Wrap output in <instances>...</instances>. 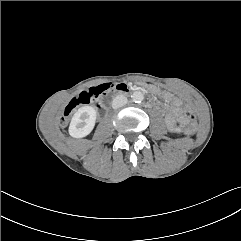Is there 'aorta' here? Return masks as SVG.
Returning a JSON list of instances; mask_svg holds the SVG:
<instances>
[{
    "label": "aorta",
    "mask_w": 241,
    "mask_h": 241,
    "mask_svg": "<svg viewBox=\"0 0 241 241\" xmlns=\"http://www.w3.org/2000/svg\"><path fill=\"white\" fill-rule=\"evenodd\" d=\"M132 100L136 103H139L141 101H143L144 99V94L141 92V91H135L133 94H132Z\"/></svg>",
    "instance_id": "1"
}]
</instances>
